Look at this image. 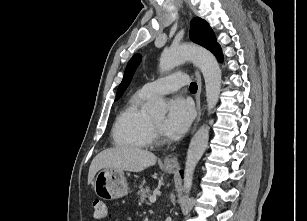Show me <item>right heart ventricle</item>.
Masks as SVG:
<instances>
[{"label": "right heart ventricle", "instance_id": "right-heart-ventricle-1", "mask_svg": "<svg viewBox=\"0 0 307 221\" xmlns=\"http://www.w3.org/2000/svg\"><path fill=\"white\" fill-rule=\"evenodd\" d=\"M151 98L141 90L131 96L118 114L112 129L115 146L141 149L150 145L151 117L145 110V103Z\"/></svg>", "mask_w": 307, "mask_h": 221}]
</instances>
